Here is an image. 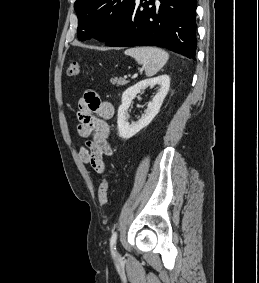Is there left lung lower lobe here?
I'll return each instance as SVG.
<instances>
[{"label": "left lung lower lobe", "instance_id": "left-lung-lower-lobe-1", "mask_svg": "<svg viewBox=\"0 0 259 283\" xmlns=\"http://www.w3.org/2000/svg\"><path fill=\"white\" fill-rule=\"evenodd\" d=\"M197 0H133L106 46H159L190 59L196 51Z\"/></svg>", "mask_w": 259, "mask_h": 283}]
</instances>
